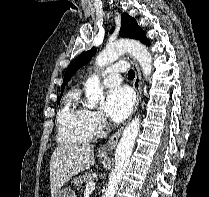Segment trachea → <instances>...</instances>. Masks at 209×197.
<instances>
[{"instance_id":"1","label":"trachea","mask_w":209,"mask_h":197,"mask_svg":"<svg viewBox=\"0 0 209 197\" xmlns=\"http://www.w3.org/2000/svg\"><path fill=\"white\" fill-rule=\"evenodd\" d=\"M128 77H129V78H134V77H135V73H134L133 70H129V71H128Z\"/></svg>"}]
</instances>
